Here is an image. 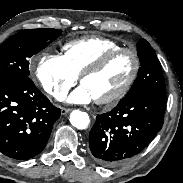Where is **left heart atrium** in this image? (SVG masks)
Instances as JSON below:
<instances>
[{"instance_id": "left-heart-atrium-1", "label": "left heart atrium", "mask_w": 183, "mask_h": 183, "mask_svg": "<svg viewBox=\"0 0 183 183\" xmlns=\"http://www.w3.org/2000/svg\"><path fill=\"white\" fill-rule=\"evenodd\" d=\"M93 100H95L93 95L84 85H81L80 87L75 89L68 98V101L70 103L75 104H86Z\"/></svg>"}]
</instances>
